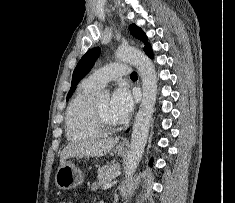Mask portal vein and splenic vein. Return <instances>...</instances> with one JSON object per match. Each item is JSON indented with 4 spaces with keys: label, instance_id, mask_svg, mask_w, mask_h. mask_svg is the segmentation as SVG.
<instances>
[{
    "label": "portal vein and splenic vein",
    "instance_id": "portal-vein-and-splenic-vein-1",
    "mask_svg": "<svg viewBox=\"0 0 235 203\" xmlns=\"http://www.w3.org/2000/svg\"><path fill=\"white\" fill-rule=\"evenodd\" d=\"M117 181H110L109 183H107V184H104L103 186H102V189H104V190H107V189H109V188H111L115 183H116Z\"/></svg>",
    "mask_w": 235,
    "mask_h": 203
}]
</instances>
